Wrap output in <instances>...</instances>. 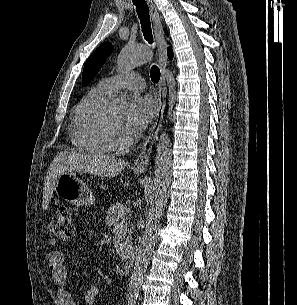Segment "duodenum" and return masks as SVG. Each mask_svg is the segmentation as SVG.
Returning <instances> with one entry per match:
<instances>
[{
  "label": "duodenum",
  "mask_w": 297,
  "mask_h": 305,
  "mask_svg": "<svg viewBox=\"0 0 297 305\" xmlns=\"http://www.w3.org/2000/svg\"><path fill=\"white\" fill-rule=\"evenodd\" d=\"M135 261V252L130 250L126 253L124 262H123V270L125 273H130Z\"/></svg>",
  "instance_id": "obj_1"
}]
</instances>
